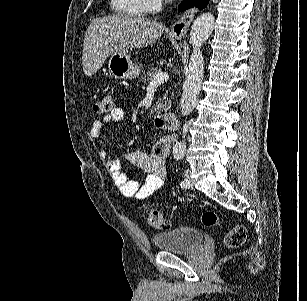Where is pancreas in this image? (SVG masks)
Returning a JSON list of instances; mask_svg holds the SVG:
<instances>
[{
	"label": "pancreas",
	"mask_w": 307,
	"mask_h": 301,
	"mask_svg": "<svg viewBox=\"0 0 307 301\" xmlns=\"http://www.w3.org/2000/svg\"><path fill=\"white\" fill-rule=\"evenodd\" d=\"M162 68H154V66H150L147 70H144L141 80L142 82H149V80H153L154 76H156L157 72H161ZM167 94H163L162 98H159L156 102V106L154 108V112H167L171 102L166 100Z\"/></svg>",
	"instance_id": "cf45deb5"
}]
</instances>
